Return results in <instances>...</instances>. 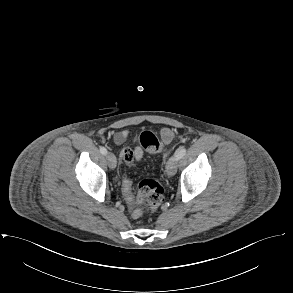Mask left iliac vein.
<instances>
[{"instance_id":"4c4485c4","label":"left iliac vein","mask_w":293,"mask_h":293,"mask_svg":"<svg viewBox=\"0 0 293 293\" xmlns=\"http://www.w3.org/2000/svg\"><path fill=\"white\" fill-rule=\"evenodd\" d=\"M177 163H178V159H177L176 155H173L167 161V163H166V173L169 176H174L176 174V171H177Z\"/></svg>"}]
</instances>
